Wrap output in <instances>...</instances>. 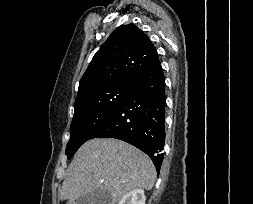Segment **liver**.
<instances>
[{"label":"liver","mask_w":253,"mask_h":204,"mask_svg":"<svg viewBox=\"0 0 253 204\" xmlns=\"http://www.w3.org/2000/svg\"><path fill=\"white\" fill-rule=\"evenodd\" d=\"M155 179V167L145 153L118 139L95 138L74 155L60 199L75 204L81 196L105 190L115 204L132 190H151Z\"/></svg>","instance_id":"obj_1"}]
</instances>
